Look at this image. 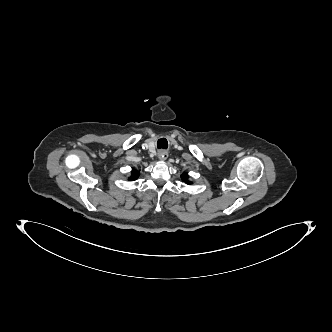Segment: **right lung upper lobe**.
Listing matches in <instances>:
<instances>
[{
    "instance_id": "right-lung-upper-lobe-1",
    "label": "right lung upper lobe",
    "mask_w": 332,
    "mask_h": 332,
    "mask_svg": "<svg viewBox=\"0 0 332 332\" xmlns=\"http://www.w3.org/2000/svg\"><path fill=\"white\" fill-rule=\"evenodd\" d=\"M139 177V171L133 170L132 176L129 178V180L134 181Z\"/></svg>"
}]
</instances>
